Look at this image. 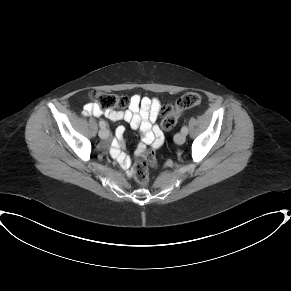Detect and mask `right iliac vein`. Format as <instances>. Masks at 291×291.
Listing matches in <instances>:
<instances>
[{"instance_id": "1", "label": "right iliac vein", "mask_w": 291, "mask_h": 291, "mask_svg": "<svg viewBox=\"0 0 291 291\" xmlns=\"http://www.w3.org/2000/svg\"><path fill=\"white\" fill-rule=\"evenodd\" d=\"M99 136H100V138L105 139L109 136V131L106 128H102L99 131Z\"/></svg>"}]
</instances>
